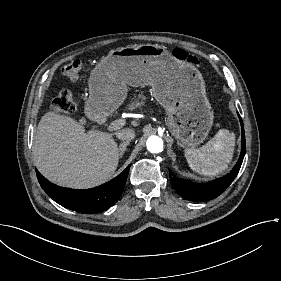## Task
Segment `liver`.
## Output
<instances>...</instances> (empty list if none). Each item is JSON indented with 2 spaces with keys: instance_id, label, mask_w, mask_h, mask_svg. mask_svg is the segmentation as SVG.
I'll use <instances>...</instances> for the list:
<instances>
[{
  "instance_id": "6515ba94",
  "label": "liver",
  "mask_w": 281,
  "mask_h": 281,
  "mask_svg": "<svg viewBox=\"0 0 281 281\" xmlns=\"http://www.w3.org/2000/svg\"><path fill=\"white\" fill-rule=\"evenodd\" d=\"M35 165L52 183L88 189L108 181L119 162L118 145L111 133L85 131L76 120L47 112L33 144Z\"/></svg>"
}]
</instances>
